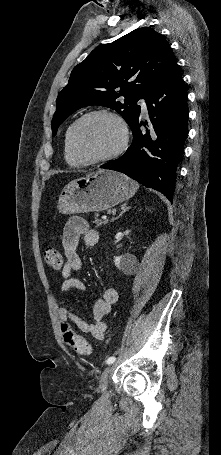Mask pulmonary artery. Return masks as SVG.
<instances>
[{
  "label": "pulmonary artery",
  "mask_w": 221,
  "mask_h": 455,
  "mask_svg": "<svg viewBox=\"0 0 221 455\" xmlns=\"http://www.w3.org/2000/svg\"><path fill=\"white\" fill-rule=\"evenodd\" d=\"M140 105H141L142 112L144 114H146L147 113V106H146L145 102H140Z\"/></svg>",
  "instance_id": "pulmonary-artery-1"
}]
</instances>
